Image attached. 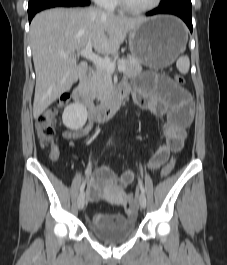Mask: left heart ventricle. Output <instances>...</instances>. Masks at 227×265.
Here are the masks:
<instances>
[{
    "instance_id": "1",
    "label": "left heart ventricle",
    "mask_w": 227,
    "mask_h": 265,
    "mask_svg": "<svg viewBox=\"0 0 227 265\" xmlns=\"http://www.w3.org/2000/svg\"><path fill=\"white\" fill-rule=\"evenodd\" d=\"M155 0H127V2L136 8H144L151 5Z\"/></svg>"
}]
</instances>
